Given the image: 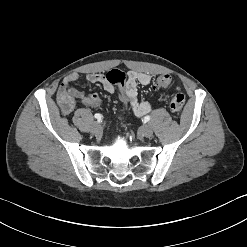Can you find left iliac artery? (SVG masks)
Instances as JSON below:
<instances>
[{
	"instance_id": "obj_1",
	"label": "left iliac artery",
	"mask_w": 247,
	"mask_h": 247,
	"mask_svg": "<svg viewBox=\"0 0 247 247\" xmlns=\"http://www.w3.org/2000/svg\"><path fill=\"white\" fill-rule=\"evenodd\" d=\"M149 120H150V116L149 115H147V116L144 117V121L145 122H148Z\"/></svg>"
}]
</instances>
